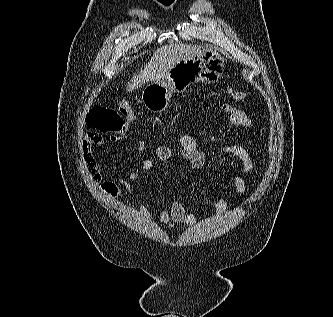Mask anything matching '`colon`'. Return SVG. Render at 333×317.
I'll return each mask as SVG.
<instances>
[{"mask_svg": "<svg viewBox=\"0 0 333 317\" xmlns=\"http://www.w3.org/2000/svg\"><path fill=\"white\" fill-rule=\"evenodd\" d=\"M227 93L236 101L245 97L243 92L232 88L228 89ZM136 119L132 105L129 102H122L116 108L98 106L91 109L87 117V124L100 133L124 135L130 131Z\"/></svg>", "mask_w": 333, "mask_h": 317, "instance_id": "obj_1", "label": "colon"}]
</instances>
